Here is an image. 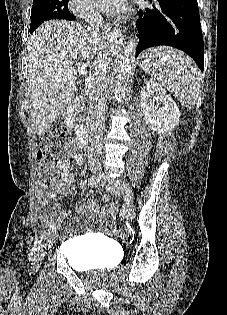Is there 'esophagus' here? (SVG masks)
I'll list each match as a JSON object with an SVG mask.
<instances>
[{
	"label": "esophagus",
	"mask_w": 227,
	"mask_h": 315,
	"mask_svg": "<svg viewBox=\"0 0 227 315\" xmlns=\"http://www.w3.org/2000/svg\"><path fill=\"white\" fill-rule=\"evenodd\" d=\"M105 33H106L107 37H110V34L113 33V34H115L116 38L122 39V33L117 27L112 28L111 26L108 25L105 28Z\"/></svg>",
	"instance_id": "obj_1"
}]
</instances>
